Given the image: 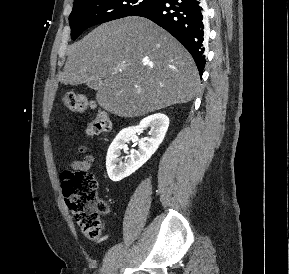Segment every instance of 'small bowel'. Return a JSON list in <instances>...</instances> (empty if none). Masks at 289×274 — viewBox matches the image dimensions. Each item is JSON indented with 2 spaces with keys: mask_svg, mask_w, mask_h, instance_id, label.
I'll list each match as a JSON object with an SVG mask.
<instances>
[{
  "mask_svg": "<svg viewBox=\"0 0 289 274\" xmlns=\"http://www.w3.org/2000/svg\"><path fill=\"white\" fill-rule=\"evenodd\" d=\"M77 151L79 153H86L87 147L84 145H81L77 148ZM96 162V158L93 155H85L80 160H74L70 163V168L73 171H88L92 165Z\"/></svg>",
  "mask_w": 289,
  "mask_h": 274,
  "instance_id": "small-bowel-1",
  "label": "small bowel"
}]
</instances>
